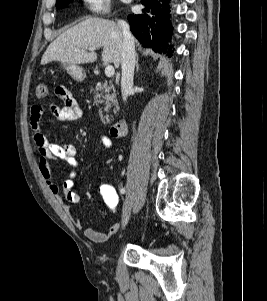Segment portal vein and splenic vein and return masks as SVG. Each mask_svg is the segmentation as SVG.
Here are the masks:
<instances>
[{
    "instance_id": "portal-vein-and-splenic-vein-1",
    "label": "portal vein and splenic vein",
    "mask_w": 267,
    "mask_h": 301,
    "mask_svg": "<svg viewBox=\"0 0 267 301\" xmlns=\"http://www.w3.org/2000/svg\"><path fill=\"white\" fill-rule=\"evenodd\" d=\"M88 50L89 51H94V50H96V48L95 47H89ZM114 73H115L114 67L111 66V65H107L106 68H105V75L107 77H112L114 75Z\"/></svg>"
}]
</instances>
